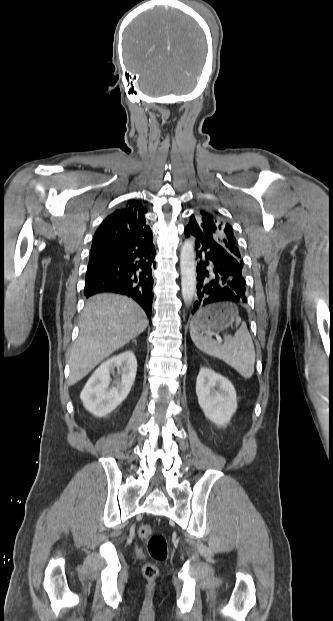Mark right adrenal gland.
<instances>
[{
  "label": "right adrenal gland",
  "mask_w": 333,
  "mask_h": 621,
  "mask_svg": "<svg viewBox=\"0 0 333 621\" xmlns=\"http://www.w3.org/2000/svg\"><path fill=\"white\" fill-rule=\"evenodd\" d=\"M133 342L137 343L136 339H135V340H133Z\"/></svg>",
  "instance_id": "2a0ac1e0"
}]
</instances>
